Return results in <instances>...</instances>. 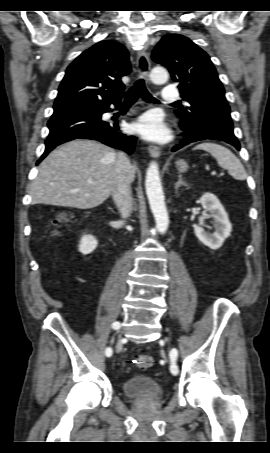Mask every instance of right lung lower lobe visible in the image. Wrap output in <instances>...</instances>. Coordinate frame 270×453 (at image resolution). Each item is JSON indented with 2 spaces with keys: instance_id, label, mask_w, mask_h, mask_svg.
Returning <instances> with one entry per match:
<instances>
[{
  "instance_id": "1",
  "label": "right lung lower lobe",
  "mask_w": 270,
  "mask_h": 453,
  "mask_svg": "<svg viewBox=\"0 0 270 453\" xmlns=\"http://www.w3.org/2000/svg\"><path fill=\"white\" fill-rule=\"evenodd\" d=\"M113 104L118 106L119 101ZM109 105L53 113L48 122L50 133L45 141L46 149L37 164L56 146L77 138L97 140L132 153L136 137L123 134L117 123L101 119L103 113L111 111Z\"/></svg>"
}]
</instances>
